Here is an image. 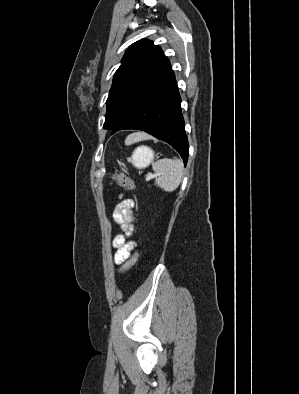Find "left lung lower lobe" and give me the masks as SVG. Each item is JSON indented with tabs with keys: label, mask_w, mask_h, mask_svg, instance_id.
Here are the masks:
<instances>
[{
	"label": "left lung lower lobe",
	"mask_w": 299,
	"mask_h": 394,
	"mask_svg": "<svg viewBox=\"0 0 299 394\" xmlns=\"http://www.w3.org/2000/svg\"><path fill=\"white\" fill-rule=\"evenodd\" d=\"M123 129L142 130L167 142L178 151L186 165L189 145L181 98L171 66L140 95L112 129V134Z\"/></svg>",
	"instance_id": "0a47b994"
}]
</instances>
